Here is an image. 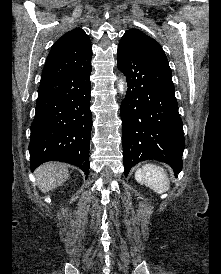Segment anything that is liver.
Returning <instances> with one entry per match:
<instances>
[{"label": "liver", "mask_w": 221, "mask_h": 274, "mask_svg": "<svg viewBox=\"0 0 221 274\" xmlns=\"http://www.w3.org/2000/svg\"><path fill=\"white\" fill-rule=\"evenodd\" d=\"M39 189L46 193L61 186L69 178V171L65 164L49 162L41 165L35 171Z\"/></svg>", "instance_id": "liver-1"}]
</instances>
